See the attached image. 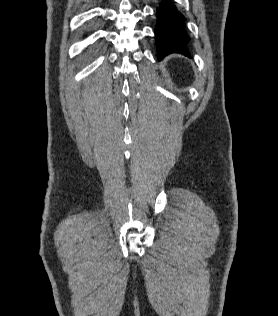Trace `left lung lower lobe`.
Listing matches in <instances>:
<instances>
[{
    "instance_id": "left-lung-lower-lobe-1",
    "label": "left lung lower lobe",
    "mask_w": 278,
    "mask_h": 316,
    "mask_svg": "<svg viewBox=\"0 0 278 316\" xmlns=\"http://www.w3.org/2000/svg\"><path fill=\"white\" fill-rule=\"evenodd\" d=\"M157 25L155 30L158 58L171 53L189 56L187 43L190 38L184 27V17L169 0L156 9Z\"/></svg>"
}]
</instances>
